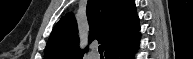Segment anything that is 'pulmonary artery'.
<instances>
[{
    "label": "pulmonary artery",
    "mask_w": 193,
    "mask_h": 59,
    "mask_svg": "<svg viewBox=\"0 0 193 59\" xmlns=\"http://www.w3.org/2000/svg\"><path fill=\"white\" fill-rule=\"evenodd\" d=\"M90 59H96L97 58V54L95 52V50H92L89 54H88Z\"/></svg>",
    "instance_id": "e3ab8cb5"
}]
</instances>
